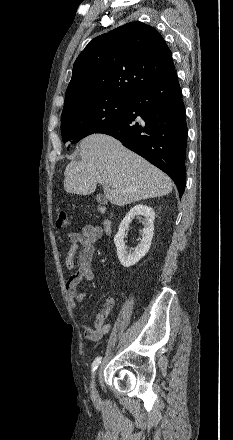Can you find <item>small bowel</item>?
Wrapping results in <instances>:
<instances>
[{
	"label": "small bowel",
	"instance_id": "obj_1",
	"mask_svg": "<svg viewBox=\"0 0 233 440\" xmlns=\"http://www.w3.org/2000/svg\"><path fill=\"white\" fill-rule=\"evenodd\" d=\"M101 228L95 224H87L78 232L68 234L70 247L65 259V265L70 273L66 283L70 305L75 307L76 303H83L86 294L80 292L78 287L82 281H93L97 277V270L92 264L95 247L94 244L101 238ZM81 246V250L78 251ZM115 306V299L109 297L106 299L102 310L95 318L94 326L82 325L84 336L97 341L108 334L111 330V324L107 323L110 312Z\"/></svg>",
	"mask_w": 233,
	"mask_h": 440
}]
</instances>
